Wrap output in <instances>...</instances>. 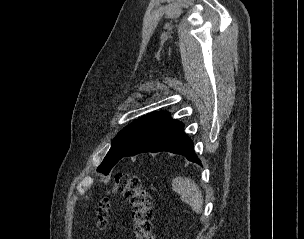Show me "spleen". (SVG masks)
<instances>
[{
  "mask_svg": "<svg viewBox=\"0 0 304 239\" xmlns=\"http://www.w3.org/2000/svg\"><path fill=\"white\" fill-rule=\"evenodd\" d=\"M172 187L180 194L181 200L188 204L194 212L200 214L203 206V196L199 186L189 178L177 177L172 180Z\"/></svg>",
  "mask_w": 304,
  "mask_h": 239,
  "instance_id": "1",
  "label": "spleen"
}]
</instances>
